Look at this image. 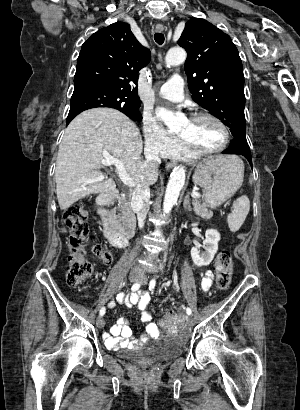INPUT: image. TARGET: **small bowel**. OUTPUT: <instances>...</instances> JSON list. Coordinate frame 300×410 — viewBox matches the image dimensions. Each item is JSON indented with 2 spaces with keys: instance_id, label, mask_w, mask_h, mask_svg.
Listing matches in <instances>:
<instances>
[{
  "instance_id": "1",
  "label": "small bowel",
  "mask_w": 300,
  "mask_h": 410,
  "mask_svg": "<svg viewBox=\"0 0 300 410\" xmlns=\"http://www.w3.org/2000/svg\"><path fill=\"white\" fill-rule=\"evenodd\" d=\"M213 280L214 273L211 270L206 271L201 280L202 289L208 291ZM117 300L120 303H124L127 307L136 306L141 312V321L146 324V328L145 333L140 338H135L127 319L119 318L110 328V332L104 335L105 345L109 349L117 350L119 348L135 347L159 336L158 326L151 322V315L147 311L150 301V294L148 292L141 291L129 295L121 293L118 295ZM109 306L112 308L115 306V303L111 302ZM172 329L175 331L174 327Z\"/></svg>"
}]
</instances>
